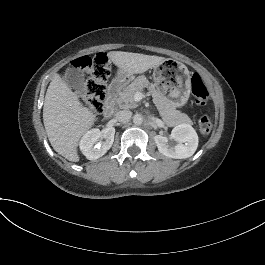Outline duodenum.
<instances>
[{
    "label": "duodenum",
    "instance_id": "duodenum-1",
    "mask_svg": "<svg viewBox=\"0 0 265 265\" xmlns=\"http://www.w3.org/2000/svg\"><path fill=\"white\" fill-rule=\"evenodd\" d=\"M125 83L126 79L120 77L113 80L109 85L104 109V116L106 118H110L114 114L117 105V97Z\"/></svg>",
    "mask_w": 265,
    "mask_h": 265
}]
</instances>
